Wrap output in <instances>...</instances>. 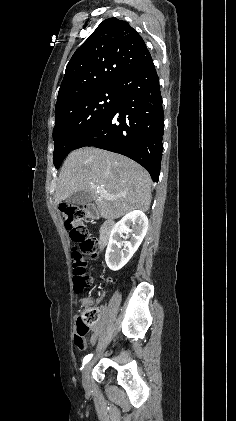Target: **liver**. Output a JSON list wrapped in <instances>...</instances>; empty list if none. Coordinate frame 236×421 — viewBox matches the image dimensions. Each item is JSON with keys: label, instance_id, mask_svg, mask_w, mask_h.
<instances>
[{"label": "liver", "instance_id": "6515ba94", "mask_svg": "<svg viewBox=\"0 0 236 421\" xmlns=\"http://www.w3.org/2000/svg\"><path fill=\"white\" fill-rule=\"evenodd\" d=\"M91 184L103 190L90 188ZM152 180L147 170L128 156L83 146L68 154L57 180L55 202L77 190H88L103 219H119L131 211L146 213L151 202ZM107 194H125L107 200Z\"/></svg>", "mask_w": 236, "mask_h": 421}]
</instances>
